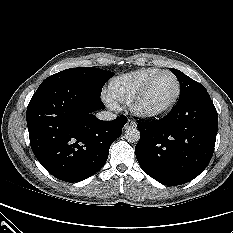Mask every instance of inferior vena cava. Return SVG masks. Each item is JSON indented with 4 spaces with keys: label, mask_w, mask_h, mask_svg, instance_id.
<instances>
[{
    "label": "inferior vena cava",
    "mask_w": 233,
    "mask_h": 233,
    "mask_svg": "<svg viewBox=\"0 0 233 233\" xmlns=\"http://www.w3.org/2000/svg\"><path fill=\"white\" fill-rule=\"evenodd\" d=\"M96 117L103 121H110V120H114L117 116L116 114L109 111H101L96 114Z\"/></svg>",
    "instance_id": "1"
}]
</instances>
